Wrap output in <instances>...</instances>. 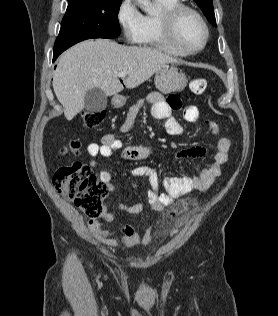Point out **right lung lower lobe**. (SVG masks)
<instances>
[{
	"instance_id": "right-lung-lower-lobe-1",
	"label": "right lung lower lobe",
	"mask_w": 278,
	"mask_h": 316,
	"mask_svg": "<svg viewBox=\"0 0 278 316\" xmlns=\"http://www.w3.org/2000/svg\"><path fill=\"white\" fill-rule=\"evenodd\" d=\"M61 52H54L53 54V62L56 60V58L58 57V55L60 54Z\"/></svg>"
}]
</instances>
